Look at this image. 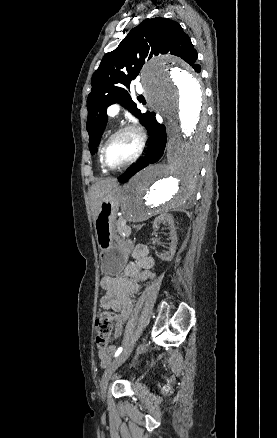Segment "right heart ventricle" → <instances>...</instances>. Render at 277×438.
<instances>
[{"label":"right heart ventricle","mask_w":277,"mask_h":438,"mask_svg":"<svg viewBox=\"0 0 277 438\" xmlns=\"http://www.w3.org/2000/svg\"><path fill=\"white\" fill-rule=\"evenodd\" d=\"M101 149H102V146L100 148V155H99L100 162H101ZM101 170L103 173H106V169H105L104 165L102 164V162H101Z\"/></svg>","instance_id":"obj_1"}]
</instances>
